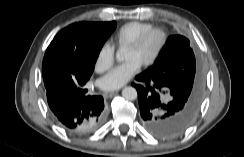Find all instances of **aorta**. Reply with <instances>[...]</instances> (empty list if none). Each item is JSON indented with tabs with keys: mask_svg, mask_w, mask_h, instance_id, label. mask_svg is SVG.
Returning <instances> with one entry per match:
<instances>
[{
	"mask_svg": "<svg viewBox=\"0 0 244 157\" xmlns=\"http://www.w3.org/2000/svg\"><path fill=\"white\" fill-rule=\"evenodd\" d=\"M116 58L118 61H122L123 60V52L121 50H118L116 53ZM122 96L125 100L127 101H133L137 98V91L135 88L129 86V87H125L122 90Z\"/></svg>",
	"mask_w": 244,
	"mask_h": 157,
	"instance_id": "762f6f07",
	"label": "aorta"
}]
</instances>
